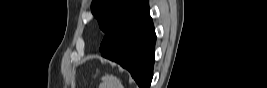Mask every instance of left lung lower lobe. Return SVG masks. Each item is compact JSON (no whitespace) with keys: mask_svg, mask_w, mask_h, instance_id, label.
I'll use <instances>...</instances> for the list:
<instances>
[{"mask_svg":"<svg viewBox=\"0 0 267 88\" xmlns=\"http://www.w3.org/2000/svg\"><path fill=\"white\" fill-rule=\"evenodd\" d=\"M155 39L148 2L144 0L106 32L100 46L101 55L126 68L140 88H149Z\"/></svg>","mask_w":267,"mask_h":88,"instance_id":"0a47b994","label":"left lung lower lobe"}]
</instances>
